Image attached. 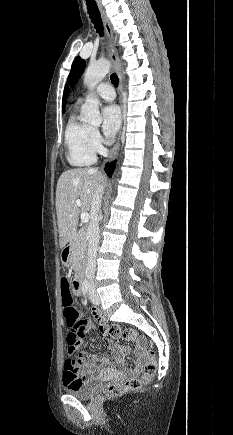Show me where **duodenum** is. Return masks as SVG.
<instances>
[{
    "label": "duodenum",
    "mask_w": 233,
    "mask_h": 435,
    "mask_svg": "<svg viewBox=\"0 0 233 435\" xmlns=\"http://www.w3.org/2000/svg\"><path fill=\"white\" fill-rule=\"evenodd\" d=\"M71 250H72L71 244H66L63 247L62 253H61V262L63 265H67ZM82 280H83V271H79L76 275V278H75L76 286H78V293L81 292Z\"/></svg>",
    "instance_id": "410a0bca"
}]
</instances>
